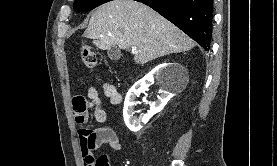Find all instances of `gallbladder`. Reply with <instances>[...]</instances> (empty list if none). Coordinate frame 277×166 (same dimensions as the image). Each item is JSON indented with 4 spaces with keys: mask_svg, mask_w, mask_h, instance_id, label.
<instances>
[{
    "mask_svg": "<svg viewBox=\"0 0 277 166\" xmlns=\"http://www.w3.org/2000/svg\"><path fill=\"white\" fill-rule=\"evenodd\" d=\"M107 54L111 60H118L121 57V53H120L119 49L114 46L111 47L110 49H108Z\"/></svg>",
    "mask_w": 277,
    "mask_h": 166,
    "instance_id": "obj_1",
    "label": "gallbladder"
}]
</instances>
